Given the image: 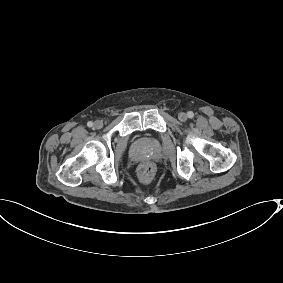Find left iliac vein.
I'll use <instances>...</instances> for the list:
<instances>
[{"label":"left iliac vein","instance_id":"4c4485c4","mask_svg":"<svg viewBox=\"0 0 283 283\" xmlns=\"http://www.w3.org/2000/svg\"><path fill=\"white\" fill-rule=\"evenodd\" d=\"M187 118H188V116H187V114L184 113V112H180V113L178 114V119H179L180 121H182V122H185V121L187 120Z\"/></svg>","mask_w":283,"mask_h":283}]
</instances>
